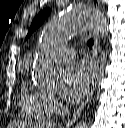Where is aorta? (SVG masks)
<instances>
[{
	"instance_id": "aorta-1",
	"label": "aorta",
	"mask_w": 125,
	"mask_h": 128,
	"mask_svg": "<svg viewBox=\"0 0 125 128\" xmlns=\"http://www.w3.org/2000/svg\"><path fill=\"white\" fill-rule=\"evenodd\" d=\"M87 29H93L97 35L102 37L108 34V22L105 15L90 6H74L70 11L46 25L41 34V45L50 46ZM32 77L35 84L45 90L57 88L60 80L59 72L54 64L44 58H40L35 63ZM76 128H88V125L83 122L79 123Z\"/></svg>"
}]
</instances>
